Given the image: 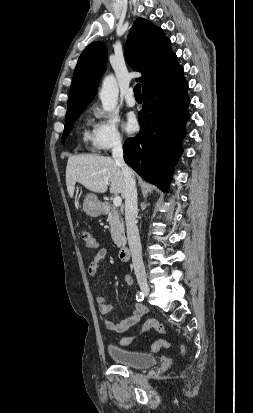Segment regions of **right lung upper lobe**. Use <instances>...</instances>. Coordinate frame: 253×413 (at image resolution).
Segmentation results:
<instances>
[{
    "mask_svg": "<svg viewBox=\"0 0 253 413\" xmlns=\"http://www.w3.org/2000/svg\"><path fill=\"white\" fill-rule=\"evenodd\" d=\"M170 45L161 28L143 18L134 22L126 41L125 56L129 65L142 73L137 81L142 82L143 91L180 68ZM106 62L107 48L101 42L89 44L81 53L70 87L66 118L80 114L93 99Z\"/></svg>",
    "mask_w": 253,
    "mask_h": 413,
    "instance_id": "1",
    "label": "right lung upper lobe"
}]
</instances>
